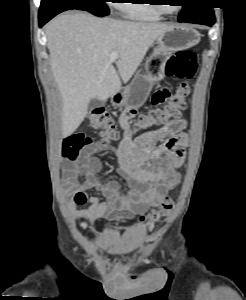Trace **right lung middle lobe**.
<instances>
[{
	"mask_svg": "<svg viewBox=\"0 0 246 300\" xmlns=\"http://www.w3.org/2000/svg\"><path fill=\"white\" fill-rule=\"evenodd\" d=\"M105 2L106 0H41L39 14L46 13L56 7L70 6L103 17L109 14V9Z\"/></svg>",
	"mask_w": 246,
	"mask_h": 300,
	"instance_id": "1",
	"label": "right lung middle lobe"
}]
</instances>
